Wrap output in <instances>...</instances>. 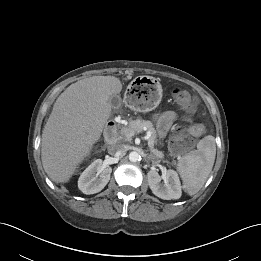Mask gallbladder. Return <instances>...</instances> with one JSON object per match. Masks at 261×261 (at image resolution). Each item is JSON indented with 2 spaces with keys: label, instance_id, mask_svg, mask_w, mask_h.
Here are the masks:
<instances>
[{
  "label": "gallbladder",
  "instance_id": "bac80fb5",
  "mask_svg": "<svg viewBox=\"0 0 261 261\" xmlns=\"http://www.w3.org/2000/svg\"><path fill=\"white\" fill-rule=\"evenodd\" d=\"M112 108H119L121 106V98L118 95H112L109 99Z\"/></svg>",
  "mask_w": 261,
  "mask_h": 261
}]
</instances>
